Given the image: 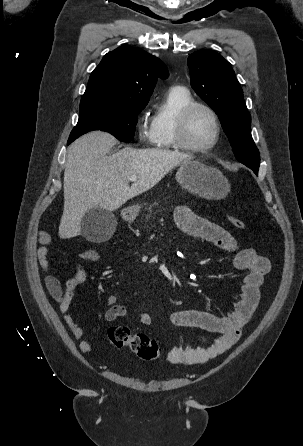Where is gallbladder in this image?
I'll return each mask as SVG.
<instances>
[{
    "instance_id": "gallbladder-1",
    "label": "gallbladder",
    "mask_w": 303,
    "mask_h": 446,
    "mask_svg": "<svg viewBox=\"0 0 303 446\" xmlns=\"http://www.w3.org/2000/svg\"><path fill=\"white\" fill-rule=\"evenodd\" d=\"M116 224L115 216L111 212L94 207L82 218L81 235L89 241L102 242L113 235Z\"/></svg>"
}]
</instances>
